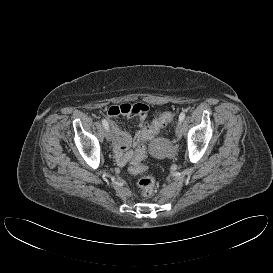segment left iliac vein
<instances>
[{
  "mask_svg": "<svg viewBox=\"0 0 273 273\" xmlns=\"http://www.w3.org/2000/svg\"><path fill=\"white\" fill-rule=\"evenodd\" d=\"M175 134H176V137L178 139H181L182 134H183V126H182V122L181 121L177 122V125H176V128H175Z\"/></svg>",
  "mask_w": 273,
  "mask_h": 273,
  "instance_id": "obj_1",
  "label": "left iliac vein"
}]
</instances>
